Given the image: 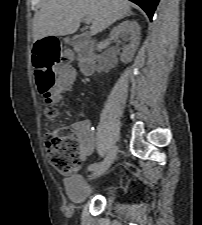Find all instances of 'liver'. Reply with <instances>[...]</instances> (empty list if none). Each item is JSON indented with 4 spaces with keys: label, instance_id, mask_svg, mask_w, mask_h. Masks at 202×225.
Instances as JSON below:
<instances>
[{
    "label": "liver",
    "instance_id": "6515ba94",
    "mask_svg": "<svg viewBox=\"0 0 202 225\" xmlns=\"http://www.w3.org/2000/svg\"><path fill=\"white\" fill-rule=\"evenodd\" d=\"M129 15L126 0H46L34 17L33 39L75 33L84 17L91 18L93 36Z\"/></svg>",
    "mask_w": 202,
    "mask_h": 225
}]
</instances>
